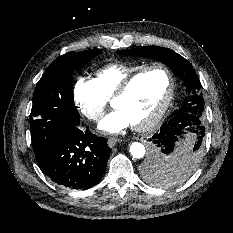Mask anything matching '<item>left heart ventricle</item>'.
I'll use <instances>...</instances> for the list:
<instances>
[{
    "label": "left heart ventricle",
    "mask_w": 233,
    "mask_h": 233,
    "mask_svg": "<svg viewBox=\"0 0 233 233\" xmlns=\"http://www.w3.org/2000/svg\"><path fill=\"white\" fill-rule=\"evenodd\" d=\"M168 77L163 70L153 69L133 84L128 93L115 103L131 125L148 120L162 104L168 91Z\"/></svg>",
    "instance_id": "obj_1"
}]
</instances>
